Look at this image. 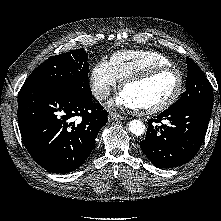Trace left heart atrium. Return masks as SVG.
Instances as JSON below:
<instances>
[{"mask_svg": "<svg viewBox=\"0 0 221 221\" xmlns=\"http://www.w3.org/2000/svg\"><path fill=\"white\" fill-rule=\"evenodd\" d=\"M110 105L112 106H123L126 108L135 109L132 104L129 102L127 97L123 92H121L117 97H115L111 102Z\"/></svg>", "mask_w": 221, "mask_h": 221, "instance_id": "obj_1", "label": "left heart atrium"}]
</instances>
